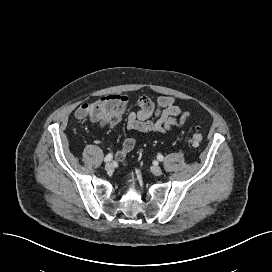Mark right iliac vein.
<instances>
[{
    "instance_id": "1",
    "label": "right iliac vein",
    "mask_w": 272,
    "mask_h": 272,
    "mask_svg": "<svg viewBox=\"0 0 272 272\" xmlns=\"http://www.w3.org/2000/svg\"><path fill=\"white\" fill-rule=\"evenodd\" d=\"M105 170L107 171V172H112L113 170H114V165L112 164V163H107L106 165H105Z\"/></svg>"
}]
</instances>
